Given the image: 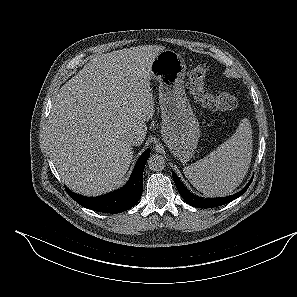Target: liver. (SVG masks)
Segmentation results:
<instances>
[{
	"mask_svg": "<svg viewBox=\"0 0 297 297\" xmlns=\"http://www.w3.org/2000/svg\"><path fill=\"white\" fill-rule=\"evenodd\" d=\"M163 46L97 55L66 82L48 121L51 157L72 191L97 196L122 183L133 158L128 137L147 133L154 99L150 67Z\"/></svg>",
	"mask_w": 297,
	"mask_h": 297,
	"instance_id": "6515ba94",
	"label": "liver"
}]
</instances>
